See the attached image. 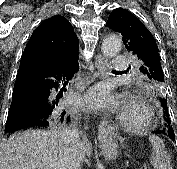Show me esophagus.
Instances as JSON below:
<instances>
[{
  "instance_id": "esophagus-1",
  "label": "esophagus",
  "mask_w": 177,
  "mask_h": 169,
  "mask_svg": "<svg viewBox=\"0 0 177 169\" xmlns=\"http://www.w3.org/2000/svg\"><path fill=\"white\" fill-rule=\"evenodd\" d=\"M95 68L96 76H100L104 78L106 76L107 70V60L102 55H97L95 58ZM113 135V127L107 121H102L99 125L98 129V137L99 139H106Z\"/></svg>"
}]
</instances>
